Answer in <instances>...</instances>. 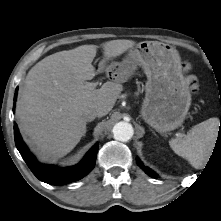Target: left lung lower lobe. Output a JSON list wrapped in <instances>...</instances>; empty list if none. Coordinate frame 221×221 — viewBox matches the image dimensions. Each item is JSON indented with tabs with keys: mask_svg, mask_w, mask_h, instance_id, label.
<instances>
[{
	"mask_svg": "<svg viewBox=\"0 0 221 221\" xmlns=\"http://www.w3.org/2000/svg\"><path fill=\"white\" fill-rule=\"evenodd\" d=\"M218 143L221 144V138L218 139ZM137 163L149 176H151L152 178L158 177V175L154 171L144 166L143 163L138 158H137Z\"/></svg>",
	"mask_w": 221,
	"mask_h": 221,
	"instance_id": "left-lung-lower-lobe-1",
	"label": "left lung lower lobe"
}]
</instances>
